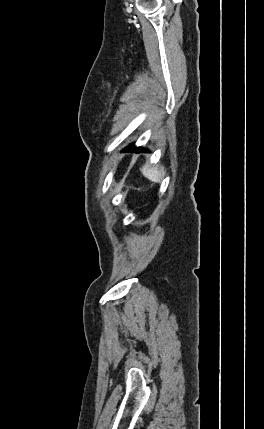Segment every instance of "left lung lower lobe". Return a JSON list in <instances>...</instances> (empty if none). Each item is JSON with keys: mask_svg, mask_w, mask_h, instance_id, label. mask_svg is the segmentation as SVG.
<instances>
[{"mask_svg": "<svg viewBox=\"0 0 264 429\" xmlns=\"http://www.w3.org/2000/svg\"><path fill=\"white\" fill-rule=\"evenodd\" d=\"M123 151H134V152H141V151H147V149H142L140 147H135L134 144H130L128 147H126Z\"/></svg>", "mask_w": 264, "mask_h": 429, "instance_id": "1", "label": "left lung lower lobe"}]
</instances>
